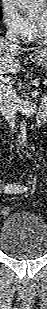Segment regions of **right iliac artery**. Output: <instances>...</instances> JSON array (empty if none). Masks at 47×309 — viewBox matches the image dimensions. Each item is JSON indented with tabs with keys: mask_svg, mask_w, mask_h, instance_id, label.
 <instances>
[{
	"mask_svg": "<svg viewBox=\"0 0 47 309\" xmlns=\"http://www.w3.org/2000/svg\"><path fill=\"white\" fill-rule=\"evenodd\" d=\"M27 190V187L20 185H8L5 188L6 193H22Z\"/></svg>",
	"mask_w": 47,
	"mask_h": 309,
	"instance_id": "1",
	"label": "right iliac artery"
}]
</instances>
